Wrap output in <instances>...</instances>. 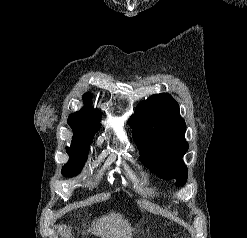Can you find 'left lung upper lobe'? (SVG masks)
I'll return each instance as SVG.
<instances>
[{
    "mask_svg": "<svg viewBox=\"0 0 247 238\" xmlns=\"http://www.w3.org/2000/svg\"><path fill=\"white\" fill-rule=\"evenodd\" d=\"M143 163L167 179L184 185L188 170L182 157L188 150L186 125L171 95L154 94L141 102L129 119Z\"/></svg>",
    "mask_w": 247,
    "mask_h": 238,
    "instance_id": "1",
    "label": "left lung upper lobe"
}]
</instances>
